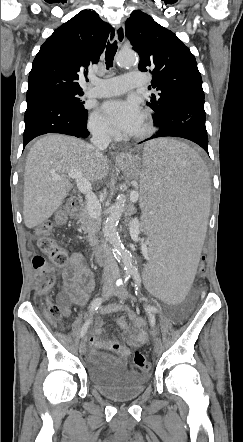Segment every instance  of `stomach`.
<instances>
[{
  "label": "stomach",
  "mask_w": 243,
  "mask_h": 442,
  "mask_svg": "<svg viewBox=\"0 0 243 442\" xmlns=\"http://www.w3.org/2000/svg\"><path fill=\"white\" fill-rule=\"evenodd\" d=\"M139 163V156L126 154L118 165L130 178H137Z\"/></svg>",
  "instance_id": "1"
}]
</instances>
